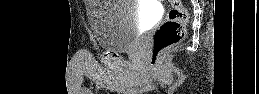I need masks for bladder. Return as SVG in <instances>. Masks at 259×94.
I'll use <instances>...</instances> for the list:
<instances>
[{
	"mask_svg": "<svg viewBox=\"0 0 259 94\" xmlns=\"http://www.w3.org/2000/svg\"><path fill=\"white\" fill-rule=\"evenodd\" d=\"M87 16L97 45L112 52L134 47L143 25L141 11L132 0L89 1Z\"/></svg>",
	"mask_w": 259,
	"mask_h": 94,
	"instance_id": "31cf9c89",
	"label": "bladder"
}]
</instances>
